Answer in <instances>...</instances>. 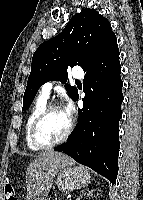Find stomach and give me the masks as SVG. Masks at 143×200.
Wrapping results in <instances>:
<instances>
[{"label": "stomach", "instance_id": "1", "mask_svg": "<svg viewBox=\"0 0 143 200\" xmlns=\"http://www.w3.org/2000/svg\"><path fill=\"white\" fill-rule=\"evenodd\" d=\"M90 180V173L82 166L67 165L57 174V185L61 191H72L85 187Z\"/></svg>", "mask_w": 143, "mask_h": 200}]
</instances>
